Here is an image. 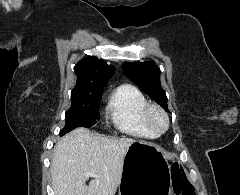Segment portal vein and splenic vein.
<instances>
[{
	"mask_svg": "<svg viewBox=\"0 0 240 195\" xmlns=\"http://www.w3.org/2000/svg\"><path fill=\"white\" fill-rule=\"evenodd\" d=\"M86 177H97V175H94V173H90V171H88V173H86Z\"/></svg>",
	"mask_w": 240,
	"mask_h": 195,
	"instance_id": "1",
	"label": "portal vein and splenic vein"
}]
</instances>
